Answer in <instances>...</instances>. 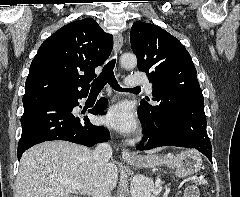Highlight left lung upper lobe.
I'll use <instances>...</instances> for the list:
<instances>
[{
	"label": "left lung upper lobe",
	"instance_id": "1",
	"mask_svg": "<svg viewBox=\"0 0 240 197\" xmlns=\"http://www.w3.org/2000/svg\"><path fill=\"white\" fill-rule=\"evenodd\" d=\"M131 48L140 71L153 83V99L159 105L169 104L184 93L203 98L197 71L186 48L159 26L135 22L130 33ZM147 111L154 106L141 101Z\"/></svg>",
	"mask_w": 240,
	"mask_h": 197
}]
</instances>
